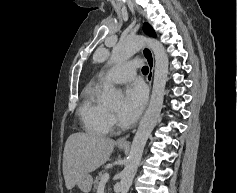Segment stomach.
<instances>
[{"label":"stomach","instance_id":"stomach-1","mask_svg":"<svg viewBox=\"0 0 237 193\" xmlns=\"http://www.w3.org/2000/svg\"><path fill=\"white\" fill-rule=\"evenodd\" d=\"M120 149H123L124 146H118ZM93 183V178L90 174H86L78 183V187L84 192L89 193Z\"/></svg>","mask_w":237,"mask_h":193}]
</instances>
